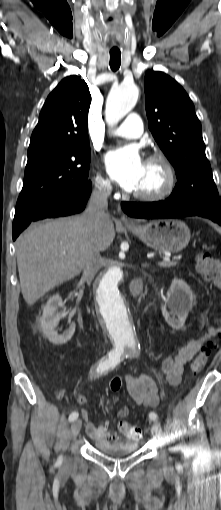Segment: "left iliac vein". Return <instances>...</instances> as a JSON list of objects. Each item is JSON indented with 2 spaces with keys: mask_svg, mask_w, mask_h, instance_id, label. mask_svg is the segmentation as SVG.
<instances>
[{
  "mask_svg": "<svg viewBox=\"0 0 221 510\" xmlns=\"http://www.w3.org/2000/svg\"><path fill=\"white\" fill-rule=\"evenodd\" d=\"M151 432H152V435L156 438V439H161L162 438V428H161V425L158 421H155L153 424H152V427H151Z\"/></svg>",
  "mask_w": 221,
  "mask_h": 510,
  "instance_id": "4c4485c4",
  "label": "left iliac vein"
}]
</instances>
